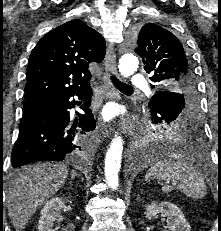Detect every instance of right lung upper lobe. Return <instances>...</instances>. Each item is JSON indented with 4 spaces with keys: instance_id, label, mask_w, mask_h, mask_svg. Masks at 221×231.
Wrapping results in <instances>:
<instances>
[{
    "instance_id": "right-lung-upper-lobe-1",
    "label": "right lung upper lobe",
    "mask_w": 221,
    "mask_h": 231,
    "mask_svg": "<svg viewBox=\"0 0 221 231\" xmlns=\"http://www.w3.org/2000/svg\"><path fill=\"white\" fill-rule=\"evenodd\" d=\"M105 47L102 35L78 19L47 33L29 57L24 103L47 95L88 89L89 63H100Z\"/></svg>"
}]
</instances>
